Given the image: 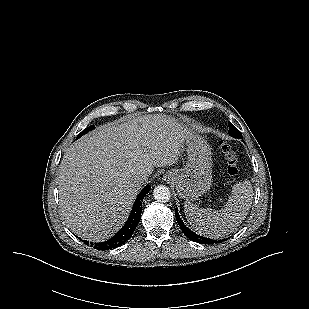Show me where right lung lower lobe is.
I'll return each instance as SVG.
<instances>
[{"label":"right lung lower lobe","mask_w":309,"mask_h":309,"mask_svg":"<svg viewBox=\"0 0 309 309\" xmlns=\"http://www.w3.org/2000/svg\"><path fill=\"white\" fill-rule=\"evenodd\" d=\"M151 186L147 185L138 195L131 210L130 216L125 225L111 239L101 243H89L83 241L86 245L91 244L95 249L109 250L121 246L127 242L133 234L137 224L139 223L142 213V199L150 191Z\"/></svg>","instance_id":"1"}]
</instances>
